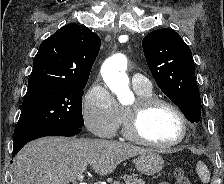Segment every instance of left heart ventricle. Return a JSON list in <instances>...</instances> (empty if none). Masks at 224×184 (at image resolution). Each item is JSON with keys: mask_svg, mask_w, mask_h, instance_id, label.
<instances>
[{"mask_svg": "<svg viewBox=\"0 0 224 184\" xmlns=\"http://www.w3.org/2000/svg\"><path fill=\"white\" fill-rule=\"evenodd\" d=\"M142 132L151 141L169 143L180 136L181 122L173 110L157 106L144 119Z\"/></svg>", "mask_w": 224, "mask_h": 184, "instance_id": "obj_1", "label": "left heart ventricle"}]
</instances>
